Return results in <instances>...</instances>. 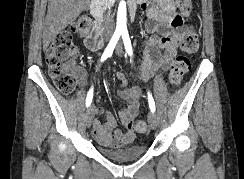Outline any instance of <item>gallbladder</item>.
I'll use <instances>...</instances> for the list:
<instances>
[{
  "label": "gallbladder",
  "instance_id": "obj_1",
  "mask_svg": "<svg viewBox=\"0 0 244 179\" xmlns=\"http://www.w3.org/2000/svg\"><path fill=\"white\" fill-rule=\"evenodd\" d=\"M88 6H86L85 10H87Z\"/></svg>",
  "mask_w": 244,
  "mask_h": 179
}]
</instances>
